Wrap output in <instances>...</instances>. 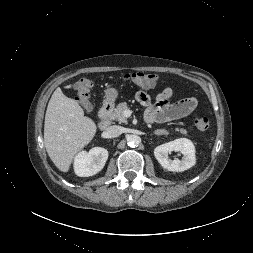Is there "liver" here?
I'll list each match as a JSON object with an SVG mask.
<instances>
[{
    "mask_svg": "<svg viewBox=\"0 0 253 253\" xmlns=\"http://www.w3.org/2000/svg\"><path fill=\"white\" fill-rule=\"evenodd\" d=\"M96 131L95 122L84 116L78 102L58 87L50 98L44 122V145L55 166L68 172L74 157L91 142Z\"/></svg>",
    "mask_w": 253,
    "mask_h": 253,
    "instance_id": "1",
    "label": "liver"
}]
</instances>
